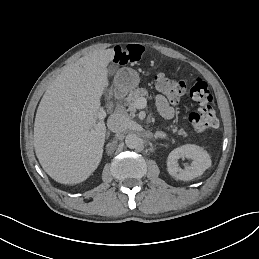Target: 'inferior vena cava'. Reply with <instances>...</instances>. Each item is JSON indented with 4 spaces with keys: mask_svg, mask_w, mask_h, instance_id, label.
I'll use <instances>...</instances> for the list:
<instances>
[{
    "mask_svg": "<svg viewBox=\"0 0 259 259\" xmlns=\"http://www.w3.org/2000/svg\"><path fill=\"white\" fill-rule=\"evenodd\" d=\"M128 118L124 114L114 113L109 116L107 126L109 130L120 133L127 128Z\"/></svg>",
    "mask_w": 259,
    "mask_h": 259,
    "instance_id": "1",
    "label": "inferior vena cava"
}]
</instances>
